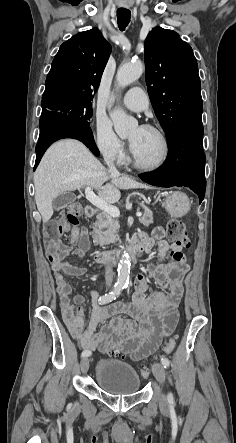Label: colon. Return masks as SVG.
Wrapping results in <instances>:
<instances>
[{"mask_svg": "<svg viewBox=\"0 0 236 443\" xmlns=\"http://www.w3.org/2000/svg\"><path fill=\"white\" fill-rule=\"evenodd\" d=\"M67 223L68 225L77 229L79 224V218L81 216L82 210L81 206L77 203H71L67 206ZM65 226H63L58 221L50 222L45 229V241L47 244L48 251L50 255L56 259H62L65 256L63 248L58 241V236H60L64 230ZM166 232L168 238L173 241L175 244L181 247L189 246V239L187 236V231L185 224L177 219H170L167 222ZM177 346V336H172L163 347V354H171ZM101 353L104 356L111 358H124L128 353V348L125 346L118 345H105L101 349ZM148 370L144 367L141 369V375L143 377L148 376Z\"/></svg>", "mask_w": 236, "mask_h": 443, "instance_id": "1", "label": "colon"}]
</instances>
